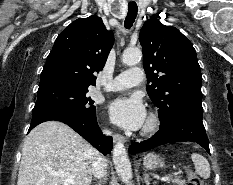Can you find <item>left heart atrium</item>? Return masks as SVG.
<instances>
[{
  "instance_id": "39dd6f15",
  "label": "left heart atrium",
  "mask_w": 233,
  "mask_h": 185,
  "mask_svg": "<svg viewBox=\"0 0 233 185\" xmlns=\"http://www.w3.org/2000/svg\"><path fill=\"white\" fill-rule=\"evenodd\" d=\"M110 120L129 130L140 129L146 121V110L138 96H120L107 105Z\"/></svg>"
}]
</instances>
